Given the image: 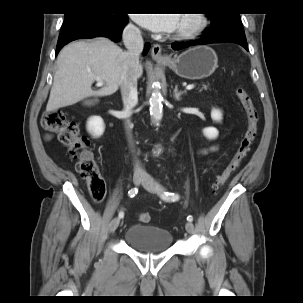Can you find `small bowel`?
<instances>
[{"label": "small bowel", "instance_id": "1", "mask_svg": "<svg viewBox=\"0 0 303 303\" xmlns=\"http://www.w3.org/2000/svg\"><path fill=\"white\" fill-rule=\"evenodd\" d=\"M45 135H46L47 138L51 137L50 133H46ZM216 150H218V145H211L209 147H206V148L202 149L201 153L202 154H207V153H210V152H215Z\"/></svg>", "mask_w": 303, "mask_h": 303}]
</instances>
